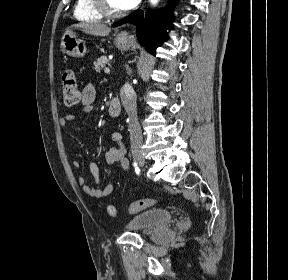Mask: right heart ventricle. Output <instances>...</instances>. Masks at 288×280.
I'll use <instances>...</instances> for the list:
<instances>
[{"instance_id":"1","label":"right heart ventricle","mask_w":288,"mask_h":280,"mask_svg":"<svg viewBox=\"0 0 288 280\" xmlns=\"http://www.w3.org/2000/svg\"><path fill=\"white\" fill-rule=\"evenodd\" d=\"M74 16L79 21L90 23L100 22L103 17L95 8L93 0H76Z\"/></svg>"}]
</instances>
